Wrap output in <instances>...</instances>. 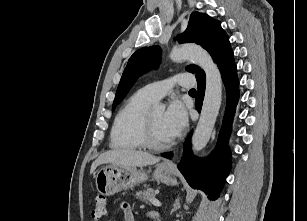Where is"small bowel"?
I'll use <instances>...</instances> for the list:
<instances>
[{"label":"small bowel","mask_w":307,"mask_h":221,"mask_svg":"<svg viewBox=\"0 0 307 221\" xmlns=\"http://www.w3.org/2000/svg\"><path fill=\"white\" fill-rule=\"evenodd\" d=\"M120 208L123 212V216H124L125 221H135L133 209L128 203H121ZM93 220L97 221L98 219L93 217Z\"/></svg>","instance_id":"c3829d8e"}]
</instances>
